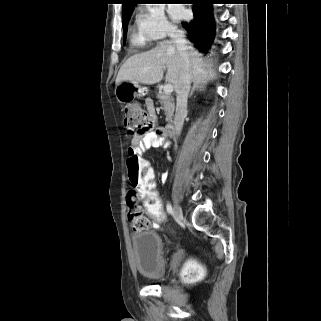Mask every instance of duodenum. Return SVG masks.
Wrapping results in <instances>:
<instances>
[{"instance_id": "obj_1", "label": "duodenum", "mask_w": 321, "mask_h": 321, "mask_svg": "<svg viewBox=\"0 0 321 321\" xmlns=\"http://www.w3.org/2000/svg\"><path fill=\"white\" fill-rule=\"evenodd\" d=\"M164 133L167 136H171L173 134V125L171 123L167 124L164 128Z\"/></svg>"}]
</instances>
